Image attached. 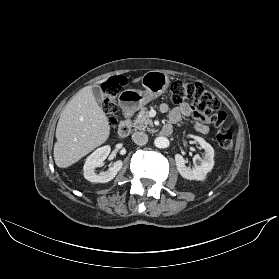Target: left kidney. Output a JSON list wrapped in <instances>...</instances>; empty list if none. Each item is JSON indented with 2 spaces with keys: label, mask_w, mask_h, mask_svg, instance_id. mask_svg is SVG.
I'll use <instances>...</instances> for the list:
<instances>
[{
  "label": "left kidney",
  "mask_w": 279,
  "mask_h": 279,
  "mask_svg": "<svg viewBox=\"0 0 279 279\" xmlns=\"http://www.w3.org/2000/svg\"><path fill=\"white\" fill-rule=\"evenodd\" d=\"M197 140L201 148L205 150L203 158L199 156L194 157L195 166L193 168L185 165L186 161L182 155L176 154L175 161L177 170L183 178L188 180L202 181L206 178L207 174L212 170L214 166V149L203 138L190 135ZM199 161V164L197 163Z\"/></svg>",
  "instance_id": "left-kidney-1"
}]
</instances>
